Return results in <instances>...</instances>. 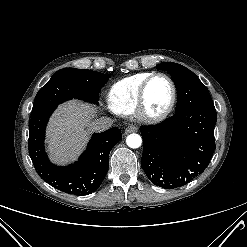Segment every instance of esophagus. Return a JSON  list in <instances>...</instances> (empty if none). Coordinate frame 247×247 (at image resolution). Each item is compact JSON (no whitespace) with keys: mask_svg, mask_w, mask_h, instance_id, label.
Masks as SVG:
<instances>
[{"mask_svg":"<svg viewBox=\"0 0 247 247\" xmlns=\"http://www.w3.org/2000/svg\"><path fill=\"white\" fill-rule=\"evenodd\" d=\"M137 131H138V128L136 126L129 125L125 129V134H129V133L137 132Z\"/></svg>","mask_w":247,"mask_h":247,"instance_id":"1","label":"esophagus"}]
</instances>
